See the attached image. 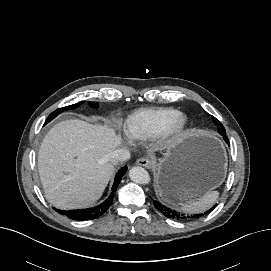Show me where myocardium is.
<instances>
[{"label": "myocardium", "instance_id": "f54148a6", "mask_svg": "<svg viewBox=\"0 0 271 271\" xmlns=\"http://www.w3.org/2000/svg\"><path fill=\"white\" fill-rule=\"evenodd\" d=\"M189 130V118L184 113H177L168 126L161 133L167 143H175L181 140Z\"/></svg>", "mask_w": 271, "mask_h": 271}]
</instances>
